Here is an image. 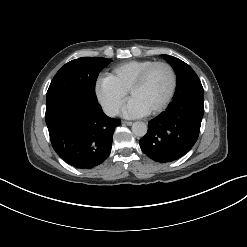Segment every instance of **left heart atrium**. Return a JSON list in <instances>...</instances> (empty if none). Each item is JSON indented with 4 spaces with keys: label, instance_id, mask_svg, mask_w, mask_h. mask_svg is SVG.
I'll return each mask as SVG.
<instances>
[{
    "label": "left heart atrium",
    "instance_id": "left-heart-atrium-1",
    "mask_svg": "<svg viewBox=\"0 0 247 247\" xmlns=\"http://www.w3.org/2000/svg\"><path fill=\"white\" fill-rule=\"evenodd\" d=\"M121 113L125 117H140L146 115L148 111L137 100L130 99L122 108Z\"/></svg>",
    "mask_w": 247,
    "mask_h": 247
}]
</instances>
